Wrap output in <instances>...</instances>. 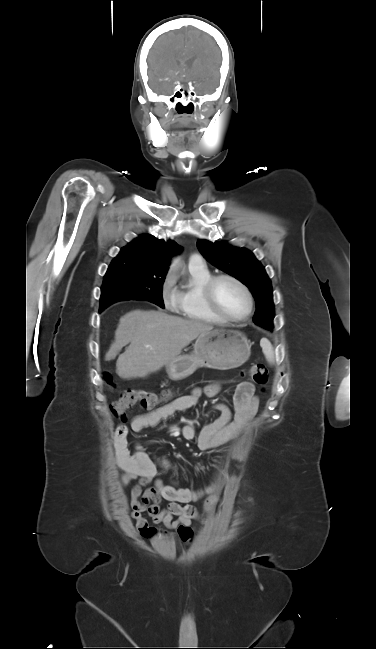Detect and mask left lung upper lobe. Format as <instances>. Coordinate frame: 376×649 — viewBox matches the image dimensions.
<instances>
[{
	"mask_svg": "<svg viewBox=\"0 0 376 649\" xmlns=\"http://www.w3.org/2000/svg\"><path fill=\"white\" fill-rule=\"evenodd\" d=\"M197 246L211 264L234 276L253 292L256 299L253 321L264 328L271 329L274 318L271 281L253 253L244 248L229 246L222 241L212 243L199 240Z\"/></svg>",
	"mask_w": 376,
	"mask_h": 649,
	"instance_id": "left-lung-upper-lobe-1",
	"label": "left lung upper lobe"
}]
</instances>
